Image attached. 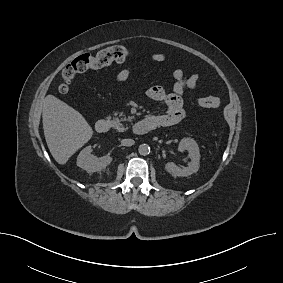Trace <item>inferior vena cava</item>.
I'll use <instances>...</instances> for the list:
<instances>
[{
  "mask_svg": "<svg viewBox=\"0 0 283 283\" xmlns=\"http://www.w3.org/2000/svg\"><path fill=\"white\" fill-rule=\"evenodd\" d=\"M135 143L133 139H122L121 145L123 146H132Z\"/></svg>",
  "mask_w": 283,
  "mask_h": 283,
  "instance_id": "602c4592",
  "label": "inferior vena cava"
}]
</instances>
